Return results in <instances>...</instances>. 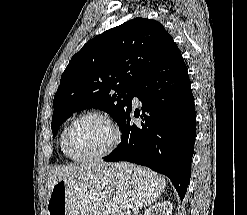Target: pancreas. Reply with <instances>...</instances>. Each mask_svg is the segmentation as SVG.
I'll return each instance as SVG.
<instances>
[{
	"label": "pancreas",
	"mask_w": 247,
	"mask_h": 215,
	"mask_svg": "<svg viewBox=\"0 0 247 215\" xmlns=\"http://www.w3.org/2000/svg\"><path fill=\"white\" fill-rule=\"evenodd\" d=\"M113 215H130V214L127 211H118V212L114 213Z\"/></svg>",
	"instance_id": "pancreas-1"
}]
</instances>
